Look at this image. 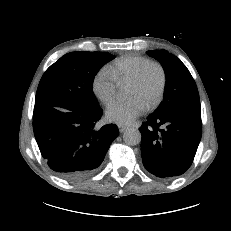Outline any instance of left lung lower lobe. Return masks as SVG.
<instances>
[{"label":"left lung lower lobe","instance_id":"obj_1","mask_svg":"<svg viewBox=\"0 0 231 231\" xmlns=\"http://www.w3.org/2000/svg\"><path fill=\"white\" fill-rule=\"evenodd\" d=\"M141 155L147 171L160 178L183 174L191 166L202 135L199 107L151 114L140 127Z\"/></svg>","mask_w":231,"mask_h":231}]
</instances>
